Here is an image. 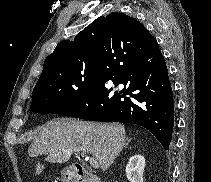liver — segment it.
<instances>
[{
  "instance_id": "liver-1",
  "label": "liver",
  "mask_w": 211,
  "mask_h": 182,
  "mask_svg": "<svg viewBox=\"0 0 211 182\" xmlns=\"http://www.w3.org/2000/svg\"><path fill=\"white\" fill-rule=\"evenodd\" d=\"M125 140V128L120 124L57 118L44 125L28 153L30 157L47 155L46 161L51 163H65L73 152H87L105 171L122 151Z\"/></svg>"
}]
</instances>
